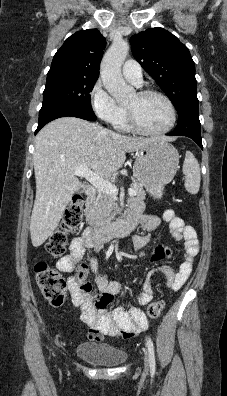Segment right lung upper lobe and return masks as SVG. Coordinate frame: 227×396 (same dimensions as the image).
Listing matches in <instances>:
<instances>
[{
    "label": "right lung upper lobe",
    "mask_w": 227,
    "mask_h": 396,
    "mask_svg": "<svg viewBox=\"0 0 227 396\" xmlns=\"http://www.w3.org/2000/svg\"><path fill=\"white\" fill-rule=\"evenodd\" d=\"M105 45L106 40L97 29L78 31L56 52L48 73L65 72L98 78Z\"/></svg>",
    "instance_id": "obj_1"
}]
</instances>
